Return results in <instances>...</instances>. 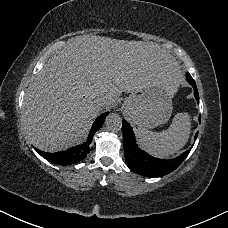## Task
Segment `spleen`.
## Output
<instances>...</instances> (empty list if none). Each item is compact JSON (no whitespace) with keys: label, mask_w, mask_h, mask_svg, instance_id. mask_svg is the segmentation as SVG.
I'll list each match as a JSON object with an SVG mask.
<instances>
[{"label":"spleen","mask_w":228,"mask_h":228,"mask_svg":"<svg viewBox=\"0 0 228 228\" xmlns=\"http://www.w3.org/2000/svg\"><path fill=\"white\" fill-rule=\"evenodd\" d=\"M190 126L188 115L177 113L171 125L161 132H153L143 125H139L137 131L140 141L148 151L159 157H168L187 142Z\"/></svg>","instance_id":"spleen-1"}]
</instances>
